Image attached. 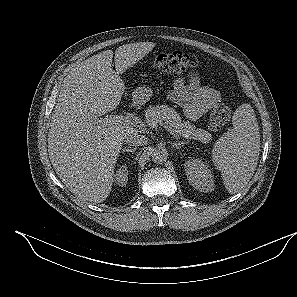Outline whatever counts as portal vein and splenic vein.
I'll use <instances>...</instances> for the list:
<instances>
[{"instance_id": "1", "label": "portal vein and splenic vein", "mask_w": 297, "mask_h": 297, "mask_svg": "<svg viewBox=\"0 0 297 297\" xmlns=\"http://www.w3.org/2000/svg\"><path fill=\"white\" fill-rule=\"evenodd\" d=\"M98 123L100 125H119V124H126L131 126H136V121L132 120L129 116H123V115H109L104 118H99ZM155 126V124H153ZM164 128L170 132V134H174L173 130L168 127L167 125H164Z\"/></svg>"}]
</instances>
